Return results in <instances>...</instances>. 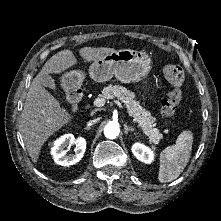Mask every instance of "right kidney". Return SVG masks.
Wrapping results in <instances>:
<instances>
[{
  "mask_svg": "<svg viewBox=\"0 0 221 221\" xmlns=\"http://www.w3.org/2000/svg\"><path fill=\"white\" fill-rule=\"evenodd\" d=\"M76 144L75 154H67L65 147ZM86 150V140L83 137L74 138L73 134H65L56 139L51 148V155L56 164L71 166L79 162Z\"/></svg>",
  "mask_w": 221,
  "mask_h": 221,
  "instance_id": "ca27d5eb",
  "label": "right kidney"
}]
</instances>
